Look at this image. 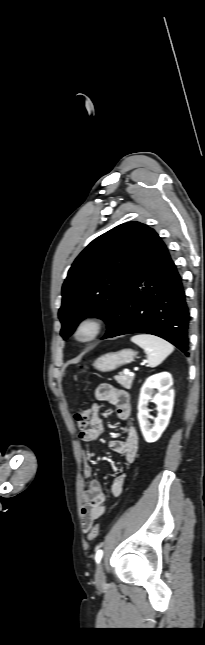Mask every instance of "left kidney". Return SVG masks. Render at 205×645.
<instances>
[{"mask_svg":"<svg viewBox=\"0 0 205 645\" xmlns=\"http://www.w3.org/2000/svg\"><path fill=\"white\" fill-rule=\"evenodd\" d=\"M173 379L168 372L155 374L147 378L140 390L138 402V421L144 439L148 443L157 441L166 429L174 404V390L171 388ZM155 390L158 391L154 396ZM157 405L158 415L153 426L149 422L148 402Z\"/></svg>","mask_w":205,"mask_h":645,"instance_id":"1","label":"left kidney"}]
</instances>
